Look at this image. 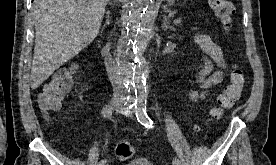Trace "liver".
<instances>
[{
  "label": "liver",
  "mask_w": 276,
  "mask_h": 165,
  "mask_svg": "<svg viewBox=\"0 0 276 165\" xmlns=\"http://www.w3.org/2000/svg\"><path fill=\"white\" fill-rule=\"evenodd\" d=\"M109 0H35L30 85L38 88L98 35Z\"/></svg>",
  "instance_id": "6515ba94"
}]
</instances>
